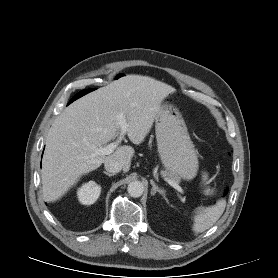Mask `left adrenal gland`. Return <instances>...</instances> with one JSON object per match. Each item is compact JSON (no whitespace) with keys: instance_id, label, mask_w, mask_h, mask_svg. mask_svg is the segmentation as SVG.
<instances>
[{"instance_id":"a2214340","label":"left adrenal gland","mask_w":278,"mask_h":278,"mask_svg":"<svg viewBox=\"0 0 278 278\" xmlns=\"http://www.w3.org/2000/svg\"><path fill=\"white\" fill-rule=\"evenodd\" d=\"M150 183L152 185V189H151V195H155L156 193H159L160 195H162L163 197H165V192L164 190L160 189L156 183L153 180H150Z\"/></svg>"}]
</instances>
